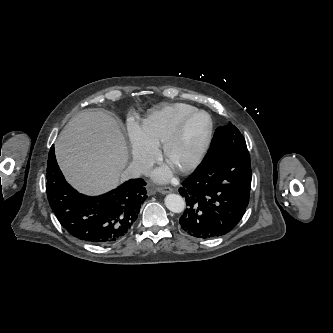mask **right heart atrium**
<instances>
[{"instance_id":"obj_1","label":"right heart atrium","mask_w":333,"mask_h":333,"mask_svg":"<svg viewBox=\"0 0 333 333\" xmlns=\"http://www.w3.org/2000/svg\"><path fill=\"white\" fill-rule=\"evenodd\" d=\"M127 135L134 166L139 170L147 169L156 159L157 148L146 139L142 126L134 120L127 122Z\"/></svg>"}]
</instances>
